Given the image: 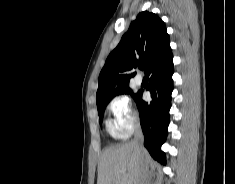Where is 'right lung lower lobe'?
Here are the masks:
<instances>
[{
	"instance_id": "98d812e1",
	"label": "right lung lower lobe",
	"mask_w": 235,
	"mask_h": 184,
	"mask_svg": "<svg viewBox=\"0 0 235 184\" xmlns=\"http://www.w3.org/2000/svg\"><path fill=\"white\" fill-rule=\"evenodd\" d=\"M173 72V55L171 53L146 73L150 80L148 90L151 93L152 101L144 102L141 99L142 91H139L135 98L144 134V146L161 164H166L165 153L161 151V146L166 141L168 133Z\"/></svg>"
}]
</instances>
